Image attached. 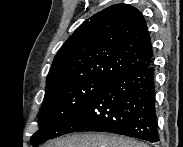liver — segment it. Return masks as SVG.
Listing matches in <instances>:
<instances>
[{
  "instance_id": "6515ba94",
  "label": "liver",
  "mask_w": 183,
  "mask_h": 147,
  "mask_svg": "<svg viewBox=\"0 0 183 147\" xmlns=\"http://www.w3.org/2000/svg\"><path fill=\"white\" fill-rule=\"evenodd\" d=\"M46 147H147L136 140L105 133L74 134L57 139Z\"/></svg>"
}]
</instances>
